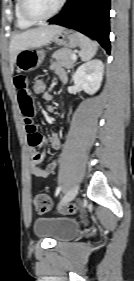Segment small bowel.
<instances>
[{"label":"small bowel","mask_w":134,"mask_h":281,"mask_svg":"<svg viewBox=\"0 0 134 281\" xmlns=\"http://www.w3.org/2000/svg\"><path fill=\"white\" fill-rule=\"evenodd\" d=\"M56 75L60 82L67 81V75L62 69H56ZM13 84L17 91V100L20 111L23 116V121L27 131V141L31 160L29 162V171L35 177L47 178L57 167V159L53 158L45 167H41L39 163L42 160V155L38 148L44 143V139L37 130L34 121L35 106L32 98V89L30 87V80L25 74H18L13 78ZM45 101H50L52 96L49 93L42 95ZM51 148L58 152L61 150V140L57 135L50 138Z\"/></svg>","instance_id":"1"}]
</instances>
